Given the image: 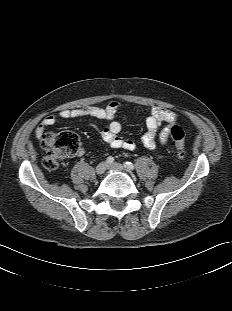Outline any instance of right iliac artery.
Segmentation results:
<instances>
[{
    "instance_id": "obj_1",
    "label": "right iliac artery",
    "mask_w": 232,
    "mask_h": 311,
    "mask_svg": "<svg viewBox=\"0 0 232 311\" xmlns=\"http://www.w3.org/2000/svg\"><path fill=\"white\" fill-rule=\"evenodd\" d=\"M106 161L108 164H111L114 162V158L112 156H109Z\"/></svg>"
}]
</instances>
